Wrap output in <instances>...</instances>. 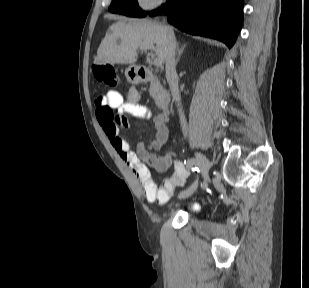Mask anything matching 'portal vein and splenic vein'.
<instances>
[{
    "label": "portal vein and splenic vein",
    "instance_id": "obj_1",
    "mask_svg": "<svg viewBox=\"0 0 309 288\" xmlns=\"http://www.w3.org/2000/svg\"><path fill=\"white\" fill-rule=\"evenodd\" d=\"M153 50L154 46H148V47H140V50L146 51V50ZM154 65L155 66H161L162 65V60L159 57L154 58Z\"/></svg>",
    "mask_w": 309,
    "mask_h": 288
}]
</instances>
